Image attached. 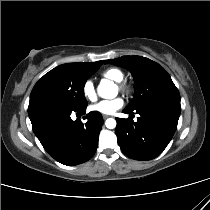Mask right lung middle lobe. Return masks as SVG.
Wrapping results in <instances>:
<instances>
[{
    "label": "right lung middle lobe",
    "mask_w": 210,
    "mask_h": 210,
    "mask_svg": "<svg viewBox=\"0 0 210 210\" xmlns=\"http://www.w3.org/2000/svg\"><path fill=\"white\" fill-rule=\"evenodd\" d=\"M103 63L104 61L87 62L83 66L67 63L46 73L31 92L29 116L51 107L72 109L86 107L88 103L84 97V85Z\"/></svg>",
    "instance_id": "dd1d6c3e"
}]
</instances>
